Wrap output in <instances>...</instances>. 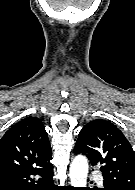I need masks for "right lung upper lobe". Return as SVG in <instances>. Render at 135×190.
<instances>
[{
  "label": "right lung upper lobe",
  "instance_id": "cb5924a9",
  "mask_svg": "<svg viewBox=\"0 0 135 190\" xmlns=\"http://www.w3.org/2000/svg\"><path fill=\"white\" fill-rule=\"evenodd\" d=\"M51 147L45 127L37 117H28L0 139V173L15 169L46 168L50 165Z\"/></svg>",
  "mask_w": 135,
  "mask_h": 190
}]
</instances>
